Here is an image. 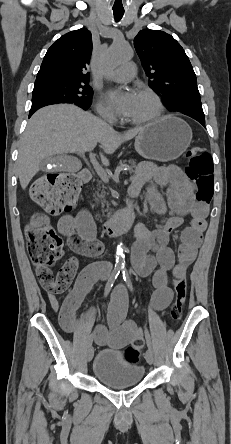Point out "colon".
I'll use <instances>...</instances> for the list:
<instances>
[{
    "label": "colon",
    "instance_id": "obj_1",
    "mask_svg": "<svg viewBox=\"0 0 231 444\" xmlns=\"http://www.w3.org/2000/svg\"><path fill=\"white\" fill-rule=\"evenodd\" d=\"M187 176L197 186V200L209 203L213 189V163L211 155L203 148L191 147L185 156ZM81 181L74 174L52 173L36 180L30 189L31 199L43 207L48 215H56L73 208ZM47 214L37 213L26 227L27 250L36 268L41 286L51 294L65 291L71 284L77 263L69 260L54 275L51 266L62 255V240L48 225ZM175 300L172 304L169 318L177 321L182 312L187 293L186 278L179 277L174 284ZM142 348V341L133 342L124 352L130 360H137Z\"/></svg>",
    "mask_w": 231,
    "mask_h": 444
}]
</instances>
